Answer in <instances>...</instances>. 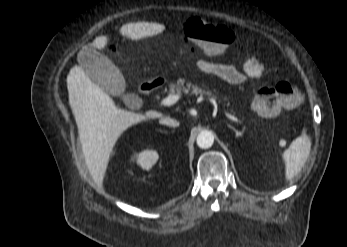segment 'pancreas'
I'll list each match as a JSON object with an SVG mask.
<instances>
[{
    "mask_svg": "<svg viewBox=\"0 0 347 247\" xmlns=\"http://www.w3.org/2000/svg\"><path fill=\"white\" fill-rule=\"evenodd\" d=\"M168 90H169V94L171 95H182V93L184 94H190L192 95H200V96H206V97H211L212 92H210L209 90H204L201 87H199L198 85H194L191 82H186L185 79H178L176 82H170L168 84ZM213 99H216V96H213ZM223 101L225 102L224 105L227 106L228 108L230 107V102L228 100L227 97L223 98ZM229 111L232 114H235L233 109L229 108Z\"/></svg>",
    "mask_w": 347,
    "mask_h": 247,
    "instance_id": "pancreas-1",
    "label": "pancreas"
}]
</instances>
